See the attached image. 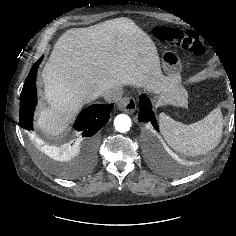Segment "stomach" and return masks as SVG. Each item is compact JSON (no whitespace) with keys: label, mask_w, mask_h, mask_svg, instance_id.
<instances>
[{"label":"stomach","mask_w":236,"mask_h":236,"mask_svg":"<svg viewBox=\"0 0 236 236\" xmlns=\"http://www.w3.org/2000/svg\"><path fill=\"white\" fill-rule=\"evenodd\" d=\"M161 67L165 77L169 79L174 86L180 81V72L182 69L179 56L172 50H165L161 55ZM182 96L187 100V93L180 89Z\"/></svg>","instance_id":"obj_1"}]
</instances>
